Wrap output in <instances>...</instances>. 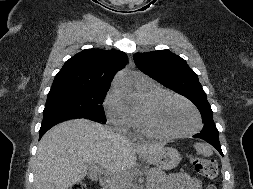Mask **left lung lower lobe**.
I'll return each instance as SVG.
<instances>
[{
	"mask_svg": "<svg viewBox=\"0 0 253 189\" xmlns=\"http://www.w3.org/2000/svg\"><path fill=\"white\" fill-rule=\"evenodd\" d=\"M218 136H219V133L200 132V133L194 135L193 137L200 138V139H203V140L209 142L223 156Z\"/></svg>",
	"mask_w": 253,
	"mask_h": 189,
	"instance_id": "obj_1",
	"label": "left lung lower lobe"
}]
</instances>
